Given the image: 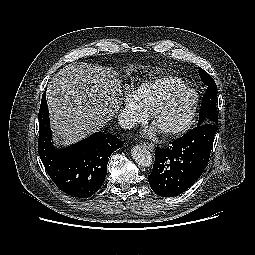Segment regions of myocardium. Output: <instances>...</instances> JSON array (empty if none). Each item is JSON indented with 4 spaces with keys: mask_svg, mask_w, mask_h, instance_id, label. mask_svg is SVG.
<instances>
[{
    "mask_svg": "<svg viewBox=\"0 0 255 255\" xmlns=\"http://www.w3.org/2000/svg\"><path fill=\"white\" fill-rule=\"evenodd\" d=\"M190 93L192 94V107L190 113L186 120L182 122L180 125L169 128V129H161L159 130L160 133L168 138L177 137L185 133L194 123L198 107H199V93L198 91L189 85H185L182 88L178 89L177 91L173 92L171 95L166 97L164 100L159 102L152 110H151V119L152 122L155 124L158 116L167 108L169 107L176 99L181 97L182 95Z\"/></svg>",
    "mask_w": 255,
    "mask_h": 255,
    "instance_id": "myocardium-1",
    "label": "myocardium"
}]
</instances>
